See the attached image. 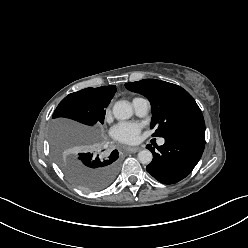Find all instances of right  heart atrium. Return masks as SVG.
I'll return each instance as SVG.
<instances>
[{"label":"right heart atrium","mask_w":248,"mask_h":248,"mask_svg":"<svg viewBox=\"0 0 248 248\" xmlns=\"http://www.w3.org/2000/svg\"><path fill=\"white\" fill-rule=\"evenodd\" d=\"M106 117H109L110 115H111V110H110V108H108L107 110H106Z\"/></svg>","instance_id":"obj_1"}]
</instances>
